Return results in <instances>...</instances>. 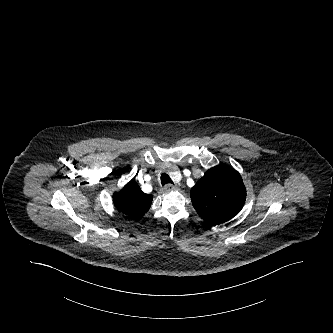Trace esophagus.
I'll return each mask as SVG.
<instances>
[{"mask_svg": "<svg viewBox=\"0 0 333 333\" xmlns=\"http://www.w3.org/2000/svg\"><path fill=\"white\" fill-rule=\"evenodd\" d=\"M177 189H178L177 185H173V184H167L164 187L165 191H174V190H177Z\"/></svg>", "mask_w": 333, "mask_h": 333, "instance_id": "esophagus-1", "label": "esophagus"}]
</instances>
